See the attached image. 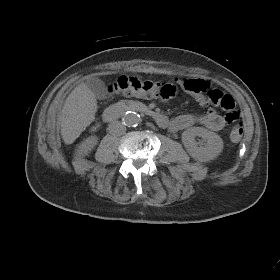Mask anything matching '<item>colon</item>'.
<instances>
[{"instance_id": "colon-1", "label": "colon", "mask_w": 280, "mask_h": 280, "mask_svg": "<svg viewBox=\"0 0 280 280\" xmlns=\"http://www.w3.org/2000/svg\"><path fill=\"white\" fill-rule=\"evenodd\" d=\"M112 93L125 96H143L147 98H159L167 100L173 98L177 93V87L171 83L144 80L132 76H120L109 86ZM211 103L220 106L226 111L225 121L234 124L231 128L230 138L237 142L243 136V125L239 122L240 111L236 108L232 96L222 93L220 90L212 89L208 92Z\"/></svg>"}]
</instances>
